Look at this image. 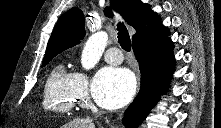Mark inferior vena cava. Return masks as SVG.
Wrapping results in <instances>:
<instances>
[{"label":"inferior vena cava","mask_w":221,"mask_h":128,"mask_svg":"<svg viewBox=\"0 0 221 128\" xmlns=\"http://www.w3.org/2000/svg\"><path fill=\"white\" fill-rule=\"evenodd\" d=\"M92 111L93 112H97V108L96 107H92Z\"/></svg>","instance_id":"1"}]
</instances>
